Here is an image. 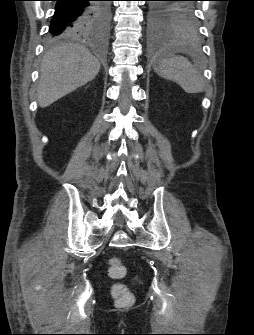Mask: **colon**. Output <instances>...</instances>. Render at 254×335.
Here are the masks:
<instances>
[{
  "label": "colon",
  "mask_w": 254,
  "mask_h": 335,
  "mask_svg": "<svg viewBox=\"0 0 254 335\" xmlns=\"http://www.w3.org/2000/svg\"><path fill=\"white\" fill-rule=\"evenodd\" d=\"M125 265L117 258L111 259L108 265V274L112 279L120 280L126 275ZM112 294L120 305H129L133 301L132 294L122 283H116L112 287Z\"/></svg>",
  "instance_id": "colon-1"
}]
</instances>
